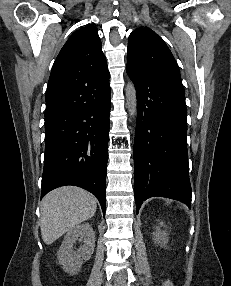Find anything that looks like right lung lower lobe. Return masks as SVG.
Here are the masks:
<instances>
[{
	"instance_id": "right-lung-lower-lobe-1",
	"label": "right lung lower lobe",
	"mask_w": 231,
	"mask_h": 286,
	"mask_svg": "<svg viewBox=\"0 0 231 286\" xmlns=\"http://www.w3.org/2000/svg\"><path fill=\"white\" fill-rule=\"evenodd\" d=\"M109 73L76 85L45 110L41 197L64 185L82 187L105 212L110 102Z\"/></svg>"
}]
</instances>
